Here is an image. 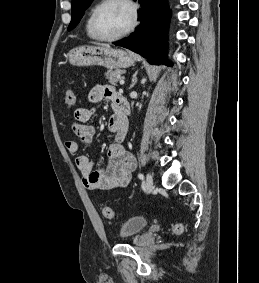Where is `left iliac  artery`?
Masks as SVG:
<instances>
[{
  "instance_id": "44dca946",
  "label": "left iliac artery",
  "mask_w": 259,
  "mask_h": 283,
  "mask_svg": "<svg viewBox=\"0 0 259 283\" xmlns=\"http://www.w3.org/2000/svg\"><path fill=\"white\" fill-rule=\"evenodd\" d=\"M138 177H139L140 179H143V178H144L143 174H141V173L138 175Z\"/></svg>"
}]
</instances>
